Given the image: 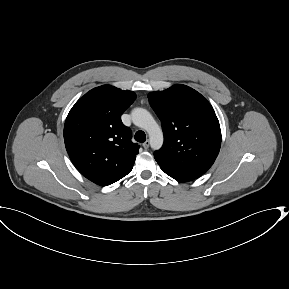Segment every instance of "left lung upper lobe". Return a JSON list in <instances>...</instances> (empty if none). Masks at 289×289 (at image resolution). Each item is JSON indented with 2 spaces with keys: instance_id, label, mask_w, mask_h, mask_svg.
I'll use <instances>...</instances> for the list:
<instances>
[{
  "instance_id": "1",
  "label": "left lung upper lobe",
  "mask_w": 289,
  "mask_h": 289,
  "mask_svg": "<svg viewBox=\"0 0 289 289\" xmlns=\"http://www.w3.org/2000/svg\"><path fill=\"white\" fill-rule=\"evenodd\" d=\"M162 123L164 145L154 153L161 169L179 181H191L214 163L221 130L211 104L194 89L176 84L148 94Z\"/></svg>"
}]
</instances>
